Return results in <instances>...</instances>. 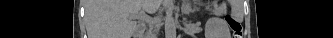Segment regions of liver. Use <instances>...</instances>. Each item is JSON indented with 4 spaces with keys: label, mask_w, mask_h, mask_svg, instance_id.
<instances>
[{
    "label": "liver",
    "mask_w": 333,
    "mask_h": 38,
    "mask_svg": "<svg viewBox=\"0 0 333 38\" xmlns=\"http://www.w3.org/2000/svg\"><path fill=\"white\" fill-rule=\"evenodd\" d=\"M160 3L161 0H87L88 38H131L138 28L136 14L141 10L154 13Z\"/></svg>",
    "instance_id": "6515ba94"
}]
</instances>
